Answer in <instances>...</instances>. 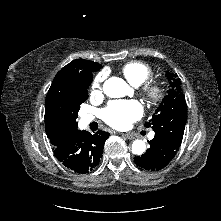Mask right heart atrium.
I'll return each instance as SVG.
<instances>
[{"label":"right heart atrium","instance_id":"d8ad5b80","mask_svg":"<svg viewBox=\"0 0 221 221\" xmlns=\"http://www.w3.org/2000/svg\"><path fill=\"white\" fill-rule=\"evenodd\" d=\"M100 81H101V77H98V78L96 79V86H97V87H99Z\"/></svg>","mask_w":221,"mask_h":221}]
</instances>
